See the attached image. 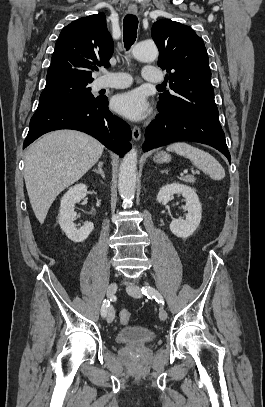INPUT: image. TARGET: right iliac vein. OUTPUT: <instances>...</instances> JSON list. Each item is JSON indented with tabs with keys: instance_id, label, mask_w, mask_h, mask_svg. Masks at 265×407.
Wrapping results in <instances>:
<instances>
[{
	"instance_id": "1",
	"label": "right iliac vein",
	"mask_w": 265,
	"mask_h": 407,
	"mask_svg": "<svg viewBox=\"0 0 265 407\" xmlns=\"http://www.w3.org/2000/svg\"><path fill=\"white\" fill-rule=\"evenodd\" d=\"M117 291V285L115 283H111L107 288V296L111 298ZM115 311L112 307H109L106 314V319L108 323H111L114 320Z\"/></svg>"
}]
</instances>
